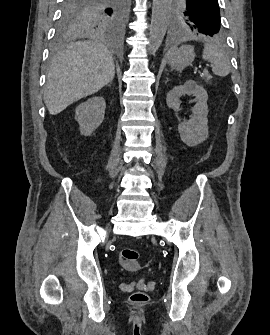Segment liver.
Listing matches in <instances>:
<instances>
[{
    "instance_id": "obj_1",
    "label": "liver",
    "mask_w": 270,
    "mask_h": 335,
    "mask_svg": "<svg viewBox=\"0 0 270 335\" xmlns=\"http://www.w3.org/2000/svg\"><path fill=\"white\" fill-rule=\"evenodd\" d=\"M115 76L113 56L102 40L72 42L50 64L44 102L56 116L67 106L91 96Z\"/></svg>"
}]
</instances>
